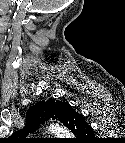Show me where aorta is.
I'll list each match as a JSON object with an SVG mask.
<instances>
[{
    "instance_id": "aorta-1",
    "label": "aorta",
    "mask_w": 125,
    "mask_h": 143,
    "mask_svg": "<svg viewBox=\"0 0 125 143\" xmlns=\"http://www.w3.org/2000/svg\"><path fill=\"white\" fill-rule=\"evenodd\" d=\"M48 130L49 131H51V132H57V133H66L67 132V130L65 129V128H63L62 126H60V125H50V127L48 128Z\"/></svg>"
}]
</instances>
